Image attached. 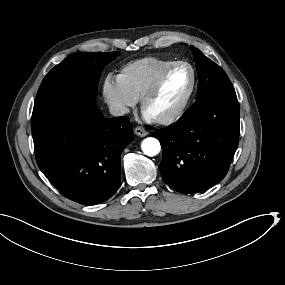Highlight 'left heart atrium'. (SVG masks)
Returning <instances> with one entry per match:
<instances>
[{"instance_id": "obj_1", "label": "left heart atrium", "mask_w": 285, "mask_h": 285, "mask_svg": "<svg viewBox=\"0 0 285 285\" xmlns=\"http://www.w3.org/2000/svg\"><path fill=\"white\" fill-rule=\"evenodd\" d=\"M141 116L146 121H154L156 117L147 111H142Z\"/></svg>"}]
</instances>
